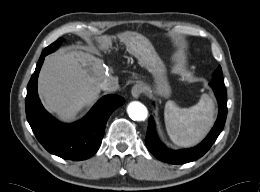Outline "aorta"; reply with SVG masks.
<instances>
[{
    "label": "aorta",
    "mask_w": 260,
    "mask_h": 192,
    "mask_svg": "<svg viewBox=\"0 0 260 192\" xmlns=\"http://www.w3.org/2000/svg\"><path fill=\"white\" fill-rule=\"evenodd\" d=\"M127 113L135 121H144L148 115L147 108L138 101H133L128 105Z\"/></svg>",
    "instance_id": "aorta-1"
}]
</instances>
